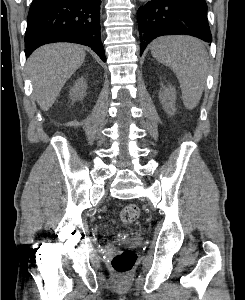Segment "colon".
Masks as SVG:
<instances>
[{
  "label": "colon",
  "instance_id": "5ec220e1",
  "mask_svg": "<svg viewBox=\"0 0 245 300\" xmlns=\"http://www.w3.org/2000/svg\"><path fill=\"white\" fill-rule=\"evenodd\" d=\"M139 215L140 209L135 204L126 205L120 212V218L125 223L136 221ZM136 258L134 251L131 249H124L113 256L111 266L117 275L125 277L133 270Z\"/></svg>",
  "mask_w": 245,
  "mask_h": 300
}]
</instances>
